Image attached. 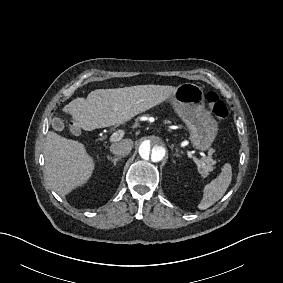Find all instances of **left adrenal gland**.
<instances>
[{"label":"left adrenal gland","instance_id":"left-adrenal-gland-1","mask_svg":"<svg viewBox=\"0 0 283 283\" xmlns=\"http://www.w3.org/2000/svg\"><path fill=\"white\" fill-rule=\"evenodd\" d=\"M178 149H176V153L173 154V156L179 157L180 155L178 154Z\"/></svg>","mask_w":283,"mask_h":283}]
</instances>
